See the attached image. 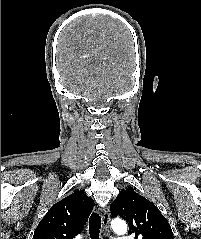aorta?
<instances>
[{"label":"aorta","mask_w":201,"mask_h":239,"mask_svg":"<svg viewBox=\"0 0 201 239\" xmlns=\"http://www.w3.org/2000/svg\"><path fill=\"white\" fill-rule=\"evenodd\" d=\"M111 228L116 234H119V235L126 234L127 232V224L124 220L120 218H116L112 220Z\"/></svg>","instance_id":"aorta-1"}]
</instances>
